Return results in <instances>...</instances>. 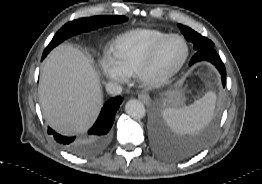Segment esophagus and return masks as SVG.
Returning <instances> with one entry per match:
<instances>
[{"label": "esophagus", "mask_w": 262, "mask_h": 184, "mask_svg": "<svg viewBox=\"0 0 262 184\" xmlns=\"http://www.w3.org/2000/svg\"><path fill=\"white\" fill-rule=\"evenodd\" d=\"M138 98L140 101H142L144 104H149L151 102V98L149 94L147 93H141L138 95Z\"/></svg>", "instance_id": "obj_1"}]
</instances>
